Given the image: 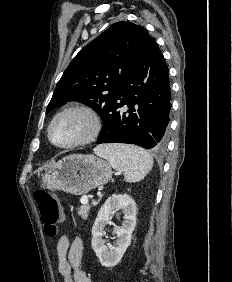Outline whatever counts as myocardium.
I'll list each match as a JSON object with an SVG mask.
<instances>
[{
	"instance_id": "myocardium-1",
	"label": "myocardium",
	"mask_w": 232,
	"mask_h": 282,
	"mask_svg": "<svg viewBox=\"0 0 232 282\" xmlns=\"http://www.w3.org/2000/svg\"><path fill=\"white\" fill-rule=\"evenodd\" d=\"M70 113H80L86 116L90 121V129L82 138L78 140L65 144H59L55 142L52 138V127L58 119ZM101 128H102L101 119L98 113L93 108L82 104L70 105L61 109L52 117L47 127V137L49 142L57 148L73 149V148L85 146L93 142L99 136L101 132Z\"/></svg>"
}]
</instances>
